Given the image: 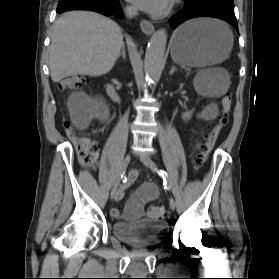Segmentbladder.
Instances as JSON below:
<instances>
[{"instance_id":"1","label":"bladder","mask_w":279,"mask_h":279,"mask_svg":"<svg viewBox=\"0 0 279 279\" xmlns=\"http://www.w3.org/2000/svg\"><path fill=\"white\" fill-rule=\"evenodd\" d=\"M168 225L156 219L120 221L113 224V235L120 241L137 247L160 244L168 233Z\"/></svg>"}]
</instances>
